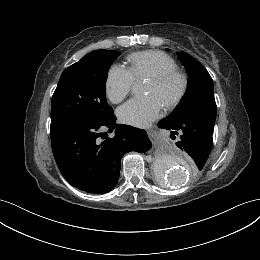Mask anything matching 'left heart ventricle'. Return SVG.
Wrapping results in <instances>:
<instances>
[{
    "label": "left heart ventricle",
    "instance_id": "1",
    "mask_svg": "<svg viewBox=\"0 0 260 260\" xmlns=\"http://www.w3.org/2000/svg\"><path fill=\"white\" fill-rule=\"evenodd\" d=\"M178 87L179 81L176 79L171 80L162 86H157L148 81L145 93L148 95H155L162 103H165V101L178 90Z\"/></svg>",
    "mask_w": 260,
    "mask_h": 260
}]
</instances>
